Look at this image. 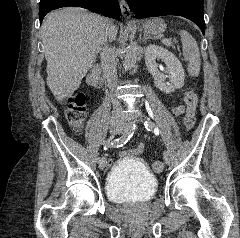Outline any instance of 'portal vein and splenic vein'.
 <instances>
[{
    "instance_id": "portal-vein-and-splenic-vein-1",
    "label": "portal vein and splenic vein",
    "mask_w": 240,
    "mask_h": 238,
    "mask_svg": "<svg viewBox=\"0 0 240 238\" xmlns=\"http://www.w3.org/2000/svg\"><path fill=\"white\" fill-rule=\"evenodd\" d=\"M162 42H163L164 44H171V41H170V40H166V39H163Z\"/></svg>"
}]
</instances>
